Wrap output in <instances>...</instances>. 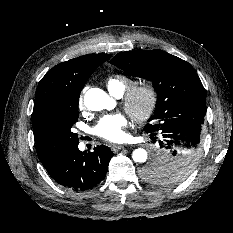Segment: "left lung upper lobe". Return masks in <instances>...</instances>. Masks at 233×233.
I'll return each mask as SVG.
<instances>
[{"mask_svg": "<svg viewBox=\"0 0 233 233\" xmlns=\"http://www.w3.org/2000/svg\"><path fill=\"white\" fill-rule=\"evenodd\" d=\"M111 64L130 76L145 77L157 92L156 109L144 130L157 131L164 123L177 119L204 122L205 89L193 67L162 50L121 52ZM198 158L181 156L165 164L150 162L142 177L152 183L177 184L195 169Z\"/></svg>", "mask_w": 233, "mask_h": 233, "instance_id": "left-lung-upper-lobe-1", "label": "left lung upper lobe"}]
</instances>
